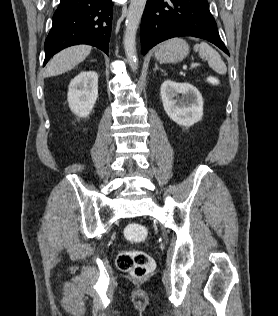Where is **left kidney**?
<instances>
[{
  "mask_svg": "<svg viewBox=\"0 0 278 316\" xmlns=\"http://www.w3.org/2000/svg\"><path fill=\"white\" fill-rule=\"evenodd\" d=\"M160 93L165 112L178 125L190 127L202 119L203 98L193 85L166 80Z\"/></svg>",
  "mask_w": 278,
  "mask_h": 316,
  "instance_id": "left-kidney-1",
  "label": "left kidney"
}]
</instances>
